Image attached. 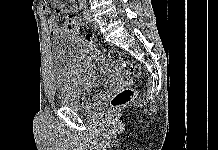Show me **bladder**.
I'll return each instance as SVG.
<instances>
[{"label":"bladder","instance_id":"obj_1","mask_svg":"<svg viewBox=\"0 0 218 150\" xmlns=\"http://www.w3.org/2000/svg\"><path fill=\"white\" fill-rule=\"evenodd\" d=\"M52 51L57 67V103L70 108L88 106L97 80L111 67L80 40L55 39Z\"/></svg>","mask_w":218,"mask_h":150}]
</instances>
